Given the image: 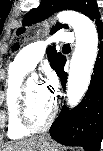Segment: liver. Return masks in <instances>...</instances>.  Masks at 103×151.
I'll return each mask as SVG.
<instances>
[{
  "mask_svg": "<svg viewBox=\"0 0 103 151\" xmlns=\"http://www.w3.org/2000/svg\"><path fill=\"white\" fill-rule=\"evenodd\" d=\"M38 137H32L26 140H22L8 145L3 151H34Z\"/></svg>",
  "mask_w": 103,
  "mask_h": 151,
  "instance_id": "liver-1",
  "label": "liver"
}]
</instances>
